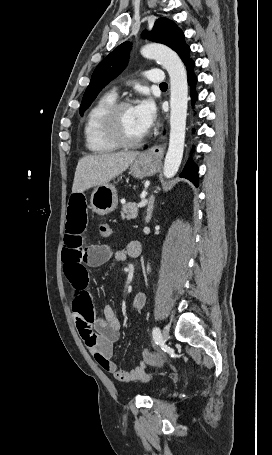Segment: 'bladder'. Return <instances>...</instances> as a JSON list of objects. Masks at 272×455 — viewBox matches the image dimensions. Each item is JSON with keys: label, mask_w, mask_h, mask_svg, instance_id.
I'll return each instance as SVG.
<instances>
[{"label": "bladder", "mask_w": 272, "mask_h": 455, "mask_svg": "<svg viewBox=\"0 0 272 455\" xmlns=\"http://www.w3.org/2000/svg\"><path fill=\"white\" fill-rule=\"evenodd\" d=\"M165 390H166V389H165L164 387H162V388L159 390V394H162V393H164V392H165Z\"/></svg>", "instance_id": "31cf9c89"}]
</instances>
